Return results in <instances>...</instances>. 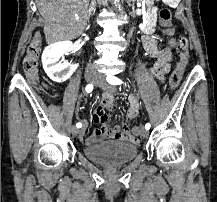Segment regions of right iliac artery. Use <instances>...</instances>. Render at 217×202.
Segmentation results:
<instances>
[{"label": "right iliac artery", "instance_id": "right-iliac-artery-1", "mask_svg": "<svg viewBox=\"0 0 217 202\" xmlns=\"http://www.w3.org/2000/svg\"><path fill=\"white\" fill-rule=\"evenodd\" d=\"M86 92L90 93L92 90H93V85L92 84H88L85 88ZM76 127L77 128H81L82 127V124L80 122H78L76 124Z\"/></svg>", "mask_w": 217, "mask_h": 202}]
</instances>
